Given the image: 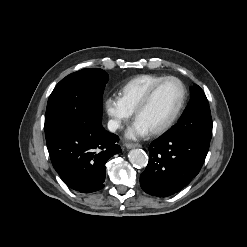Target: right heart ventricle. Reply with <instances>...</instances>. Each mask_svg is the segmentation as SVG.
<instances>
[{"instance_id":"right-heart-ventricle-1","label":"right heart ventricle","mask_w":247,"mask_h":247,"mask_svg":"<svg viewBox=\"0 0 247 247\" xmlns=\"http://www.w3.org/2000/svg\"><path fill=\"white\" fill-rule=\"evenodd\" d=\"M165 77L163 75L142 74L125 82L119 90L120 99L124 106L133 113L149 89Z\"/></svg>"}]
</instances>
